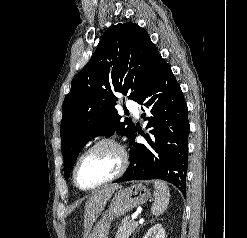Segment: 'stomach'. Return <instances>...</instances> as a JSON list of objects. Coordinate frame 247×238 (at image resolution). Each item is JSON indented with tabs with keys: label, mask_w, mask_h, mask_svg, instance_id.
Returning <instances> with one entry per match:
<instances>
[{
	"label": "stomach",
	"mask_w": 247,
	"mask_h": 238,
	"mask_svg": "<svg viewBox=\"0 0 247 238\" xmlns=\"http://www.w3.org/2000/svg\"><path fill=\"white\" fill-rule=\"evenodd\" d=\"M150 196V189L141 183L117 191L111 200L109 209L104 217L97 222L89 238H108L112 221L144 204Z\"/></svg>",
	"instance_id": "1"
}]
</instances>
